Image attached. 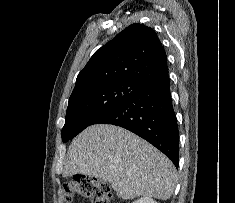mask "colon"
<instances>
[{"mask_svg": "<svg viewBox=\"0 0 235 203\" xmlns=\"http://www.w3.org/2000/svg\"><path fill=\"white\" fill-rule=\"evenodd\" d=\"M63 187L66 203H70L75 195L89 199L92 203H112L110 186L100 185L98 180L90 176L75 175Z\"/></svg>", "mask_w": 235, "mask_h": 203, "instance_id": "colon-1", "label": "colon"}]
</instances>
